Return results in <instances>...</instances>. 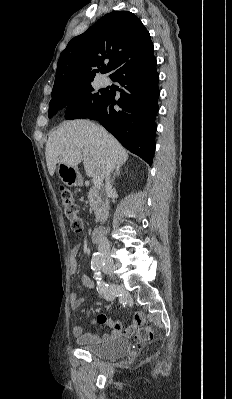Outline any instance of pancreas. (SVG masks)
Returning <instances> with one entry per match:
<instances>
[{"label":"pancreas","mask_w":232,"mask_h":399,"mask_svg":"<svg viewBox=\"0 0 232 399\" xmlns=\"http://www.w3.org/2000/svg\"><path fill=\"white\" fill-rule=\"evenodd\" d=\"M101 192L102 190H98V188H94V186H92L88 192L89 203L92 209H94L96 215L95 221H105L109 213L108 200L105 198L104 194H101Z\"/></svg>","instance_id":"obj_1"}]
</instances>
